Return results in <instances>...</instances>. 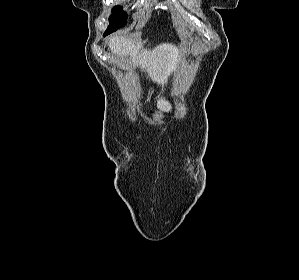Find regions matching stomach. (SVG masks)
Wrapping results in <instances>:
<instances>
[{
  "instance_id": "obj_1",
  "label": "stomach",
  "mask_w": 299,
  "mask_h": 280,
  "mask_svg": "<svg viewBox=\"0 0 299 280\" xmlns=\"http://www.w3.org/2000/svg\"><path fill=\"white\" fill-rule=\"evenodd\" d=\"M161 116H162L161 113H155V114H154V119H155V120H158V119L161 118Z\"/></svg>"
}]
</instances>
